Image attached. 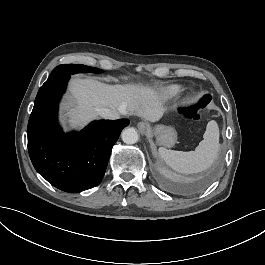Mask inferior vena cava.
<instances>
[{
	"label": "inferior vena cava",
	"instance_id": "obj_1",
	"mask_svg": "<svg viewBox=\"0 0 265 265\" xmlns=\"http://www.w3.org/2000/svg\"><path fill=\"white\" fill-rule=\"evenodd\" d=\"M99 112H100V115L102 117L107 118V119H119L120 115H126L127 114L126 110L119 112L116 109H110V108L100 109Z\"/></svg>",
	"mask_w": 265,
	"mask_h": 265
}]
</instances>
